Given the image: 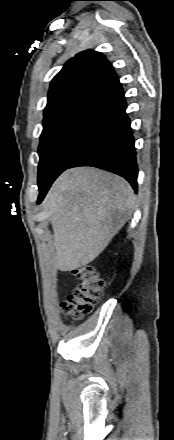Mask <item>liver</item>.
Wrapping results in <instances>:
<instances>
[{
  "instance_id": "1",
  "label": "liver",
  "mask_w": 174,
  "mask_h": 440,
  "mask_svg": "<svg viewBox=\"0 0 174 440\" xmlns=\"http://www.w3.org/2000/svg\"><path fill=\"white\" fill-rule=\"evenodd\" d=\"M54 235L55 266H86L107 247L136 205L131 185L118 175L90 167L63 172L45 200Z\"/></svg>"
}]
</instances>
